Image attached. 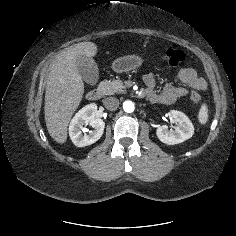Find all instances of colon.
Instances as JSON below:
<instances>
[{"mask_svg": "<svg viewBox=\"0 0 236 236\" xmlns=\"http://www.w3.org/2000/svg\"><path fill=\"white\" fill-rule=\"evenodd\" d=\"M184 53L175 48H167L164 51V59L171 66H176L180 64L184 60ZM190 99L193 103H199L201 100V96L198 92L192 91L190 94Z\"/></svg>", "mask_w": 236, "mask_h": 236, "instance_id": "1", "label": "colon"}]
</instances>
